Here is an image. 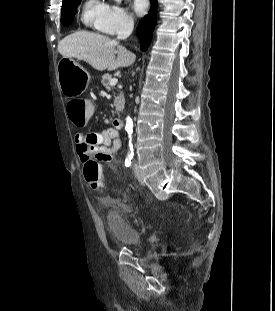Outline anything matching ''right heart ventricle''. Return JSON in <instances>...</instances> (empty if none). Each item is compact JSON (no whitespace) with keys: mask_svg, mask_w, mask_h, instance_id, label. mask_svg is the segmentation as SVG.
I'll use <instances>...</instances> for the list:
<instances>
[{"mask_svg":"<svg viewBox=\"0 0 275 311\" xmlns=\"http://www.w3.org/2000/svg\"><path fill=\"white\" fill-rule=\"evenodd\" d=\"M107 6L104 0H85L81 11L83 25L89 29L100 31L99 23L106 12Z\"/></svg>","mask_w":275,"mask_h":311,"instance_id":"obj_1","label":"right heart ventricle"}]
</instances>
